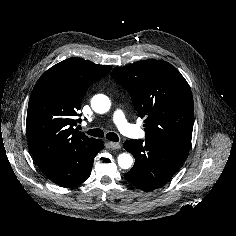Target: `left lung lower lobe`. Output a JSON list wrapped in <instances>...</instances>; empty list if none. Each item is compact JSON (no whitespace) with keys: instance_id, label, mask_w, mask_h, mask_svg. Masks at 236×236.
I'll use <instances>...</instances> for the list:
<instances>
[{"instance_id":"1","label":"left lung lower lobe","mask_w":236,"mask_h":236,"mask_svg":"<svg viewBox=\"0 0 236 236\" xmlns=\"http://www.w3.org/2000/svg\"><path fill=\"white\" fill-rule=\"evenodd\" d=\"M123 146L135 157L125 179L146 192L166 184L188 156V151L152 140H127Z\"/></svg>"}]
</instances>
